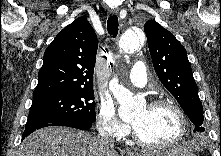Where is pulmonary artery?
Here are the masks:
<instances>
[{
  "label": "pulmonary artery",
  "instance_id": "1",
  "mask_svg": "<svg viewBox=\"0 0 221 156\" xmlns=\"http://www.w3.org/2000/svg\"><path fill=\"white\" fill-rule=\"evenodd\" d=\"M128 79L135 86L144 87L146 85L147 73L143 62L138 61L135 63L128 75Z\"/></svg>",
  "mask_w": 221,
  "mask_h": 156
}]
</instances>
